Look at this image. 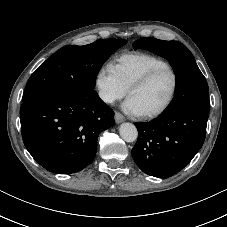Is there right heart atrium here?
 Wrapping results in <instances>:
<instances>
[{"instance_id": "d8ad5b80", "label": "right heart atrium", "mask_w": 227, "mask_h": 227, "mask_svg": "<svg viewBox=\"0 0 227 227\" xmlns=\"http://www.w3.org/2000/svg\"><path fill=\"white\" fill-rule=\"evenodd\" d=\"M94 83L98 97L108 105L114 104L127 93V88L122 84L111 65H104L98 69Z\"/></svg>"}]
</instances>
